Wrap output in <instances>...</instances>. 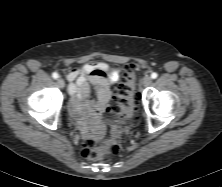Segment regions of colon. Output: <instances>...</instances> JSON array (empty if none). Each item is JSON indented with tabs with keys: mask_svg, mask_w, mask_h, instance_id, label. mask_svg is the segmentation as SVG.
Returning <instances> with one entry per match:
<instances>
[{
	"mask_svg": "<svg viewBox=\"0 0 222 187\" xmlns=\"http://www.w3.org/2000/svg\"><path fill=\"white\" fill-rule=\"evenodd\" d=\"M134 83V71L132 66L126 68L125 76L121 85L117 88L112 97L110 111L113 114H123L127 110L135 107V99L132 96V88ZM122 150L120 141L111 140L106 137L102 142L98 143L92 138H88L82 149V156L91 160H100L108 155H117Z\"/></svg>",
	"mask_w": 222,
	"mask_h": 187,
	"instance_id": "1",
	"label": "colon"
}]
</instances>
